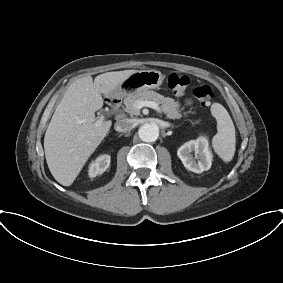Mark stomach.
<instances>
[{
	"label": "stomach",
	"instance_id": "stomach-1",
	"mask_svg": "<svg viewBox=\"0 0 283 283\" xmlns=\"http://www.w3.org/2000/svg\"><path fill=\"white\" fill-rule=\"evenodd\" d=\"M164 80V76L157 70H139L129 76L116 92L120 95L134 94L148 89L158 88Z\"/></svg>",
	"mask_w": 283,
	"mask_h": 283
}]
</instances>
